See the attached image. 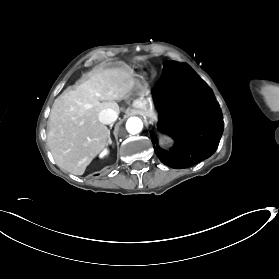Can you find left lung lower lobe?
<instances>
[{"label": "left lung lower lobe", "mask_w": 279, "mask_h": 279, "mask_svg": "<svg viewBox=\"0 0 279 279\" xmlns=\"http://www.w3.org/2000/svg\"><path fill=\"white\" fill-rule=\"evenodd\" d=\"M153 98L159 112V130L175 140L174 147L165 151L150 132L155 153L163 164L187 168L216 151L223 132L222 115L212 91L187 64L165 62Z\"/></svg>", "instance_id": "left-lung-lower-lobe-1"}]
</instances>
